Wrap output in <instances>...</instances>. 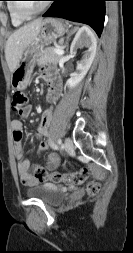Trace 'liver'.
<instances>
[{"label":"liver","instance_id":"6515ba94","mask_svg":"<svg viewBox=\"0 0 133 253\" xmlns=\"http://www.w3.org/2000/svg\"><path fill=\"white\" fill-rule=\"evenodd\" d=\"M41 24V18L34 20L16 30L8 38L5 46V57L10 72H13L16 69L23 51L39 35Z\"/></svg>","mask_w":133,"mask_h":253}]
</instances>
